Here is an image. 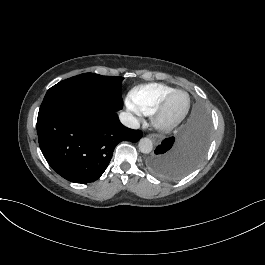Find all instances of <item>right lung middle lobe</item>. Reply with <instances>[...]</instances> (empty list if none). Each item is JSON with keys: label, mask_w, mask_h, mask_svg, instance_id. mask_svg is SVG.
Returning a JSON list of instances; mask_svg holds the SVG:
<instances>
[{"label": "right lung middle lobe", "mask_w": 265, "mask_h": 265, "mask_svg": "<svg viewBox=\"0 0 265 265\" xmlns=\"http://www.w3.org/2000/svg\"><path fill=\"white\" fill-rule=\"evenodd\" d=\"M123 79L118 76H102L92 73L71 77L51 87L41 105L58 98H72L81 100L99 110L117 112L123 107L121 95Z\"/></svg>", "instance_id": "obj_1"}]
</instances>
